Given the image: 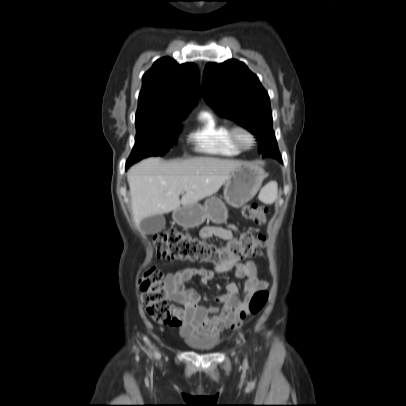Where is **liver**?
I'll list each match as a JSON object with an SVG mask.
<instances>
[{"label":"liver","mask_w":406,"mask_h":406,"mask_svg":"<svg viewBox=\"0 0 406 406\" xmlns=\"http://www.w3.org/2000/svg\"><path fill=\"white\" fill-rule=\"evenodd\" d=\"M246 163L214 157L166 162L152 157L128 171L132 215L139 224L149 216L169 213L218 192L229 175ZM185 192L181 200L179 195Z\"/></svg>","instance_id":"obj_1"}]
</instances>
